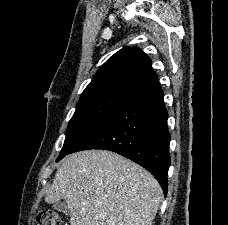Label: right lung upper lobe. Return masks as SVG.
<instances>
[{
  "instance_id": "1",
  "label": "right lung upper lobe",
  "mask_w": 228,
  "mask_h": 225,
  "mask_svg": "<svg viewBox=\"0 0 228 225\" xmlns=\"http://www.w3.org/2000/svg\"><path fill=\"white\" fill-rule=\"evenodd\" d=\"M157 77L150 58L143 51L137 47H124L97 71L86 89L108 83H125L143 89Z\"/></svg>"
}]
</instances>
